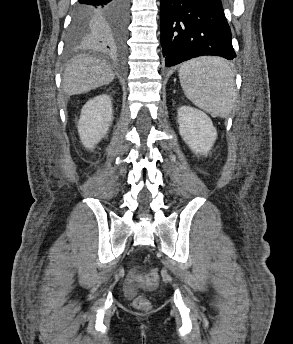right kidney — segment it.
<instances>
[{
    "instance_id": "1",
    "label": "right kidney",
    "mask_w": 293,
    "mask_h": 344,
    "mask_svg": "<svg viewBox=\"0 0 293 344\" xmlns=\"http://www.w3.org/2000/svg\"><path fill=\"white\" fill-rule=\"evenodd\" d=\"M113 121L111 97L106 94L90 99L81 110L78 133L82 144L93 149L107 134Z\"/></svg>"
}]
</instances>
